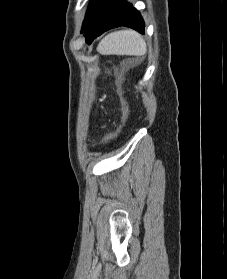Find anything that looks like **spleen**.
I'll use <instances>...</instances> for the list:
<instances>
[{
	"mask_svg": "<svg viewBox=\"0 0 227 279\" xmlns=\"http://www.w3.org/2000/svg\"><path fill=\"white\" fill-rule=\"evenodd\" d=\"M97 51L103 55H135L146 54L144 39L133 30L117 31L107 35L99 43Z\"/></svg>",
	"mask_w": 227,
	"mask_h": 279,
	"instance_id": "1",
	"label": "spleen"
}]
</instances>
